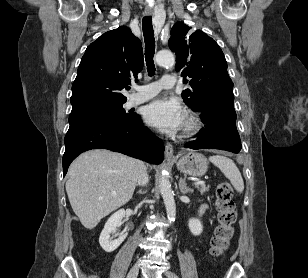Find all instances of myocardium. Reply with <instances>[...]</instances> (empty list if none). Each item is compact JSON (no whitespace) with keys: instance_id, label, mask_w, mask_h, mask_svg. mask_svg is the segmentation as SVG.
I'll return each mask as SVG.
<instances>
[{"instance_id":"myocardium-1","label":"myocardium","mask_w":308,"mask_h":278,"mask_svg":"<svg viewBox=\"0 0 308 278\" xmlns=\"http://www.w3.org/2000/svg\"><path fill=\"white\" fill-rule=\"evenodd\" d=\"M202 127V121L195 112H188L183 126V135L190 136L197 133Z\"/></svg>"}]
</instances>
